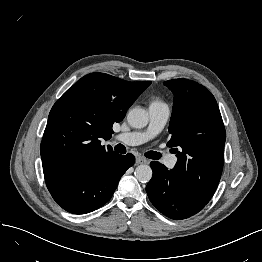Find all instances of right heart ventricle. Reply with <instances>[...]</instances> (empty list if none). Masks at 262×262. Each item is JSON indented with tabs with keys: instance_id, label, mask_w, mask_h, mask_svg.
I'll return each mask as SVG.
<instances>
[{
	"instance_id": "obj_1",
	"label": "right heart ventricle",
	"mask_w": 262,
	"mask_h": 262,
	"mask_svg": "<svg viewBox=\"0 0 262 262\" xmlns=\"http://www.w3.org/2000/svg\"><path fill=\"white\" fill-rule=\"evenodd\" d=\"M162 102L159 100V99H152L150 105H153V104H161Z\"/></svg>"
}]
</instances>
